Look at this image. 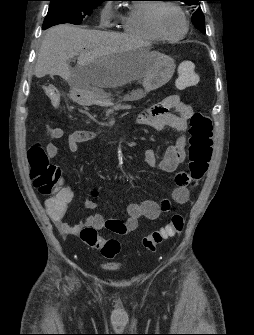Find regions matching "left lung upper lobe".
Here are the masks:
<instances>
[{"label": "left lung upper lobe", "mask_w": 254, "mask_h": 335, "mask_svg": "<svg viewBox=\"0 0 254 335\" xmlns=\"http://www.w3.org/2000/svg\"><path fill=\"white\" fill-rule=\"evenodd\" d=\"M179 1L184 2L187 5L193 6V8H195L193 11H195L199 5V1L201 0H179ZM192 21L196 26V28L199 29L202 33L206 32L204 15L200 7L197 8V10L193 13Z\"/></svg>", "instance_id": "obj_1"}]
</instances>
